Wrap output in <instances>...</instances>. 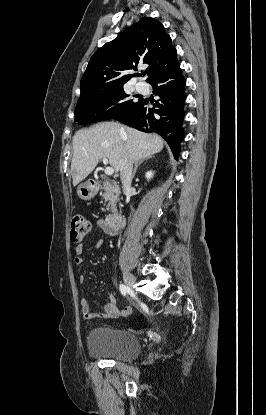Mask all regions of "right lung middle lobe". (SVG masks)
<instances>
[{
  "label": "right lung middle lobe",
  "mask_w": 266,
  "mask_h": 415,
  "mask_svg": "<svg viewBox=\"0 0 266 415\" xmlns=\"http://www.w3.org/2000/svg\"><path fill=\"white\" fill-rule=\"evenodd\" d=\"M123 86L98 93L89 97L79 98L75 108V121L88 124L113 119L119 114L136 105L128 99Z\"/></svg>",
  "instance_id": "obj_1"
}]
</instances>
